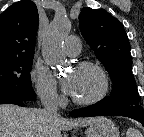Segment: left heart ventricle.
I'll use <instances>...</instances> for the list:
<instances>
[{
	"mask_svg": "<svg viewBox=\"0 0 144 137\" xmlns=\"http://www.w3.org/2000/svg\"><path fill=\"white\" fill-rule=\"evenodd\" d=\"M69 75L75 77L73 97L81 100L89 99L100 91L101 79L96 71L89 68L73 69Z\"/></svg>",
	"mask_w": 144,
	"mask_h": 137,
	"instance_id": "obj_1",
	"label": "left heart ventricle"
}]
</instances>
